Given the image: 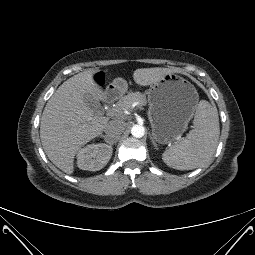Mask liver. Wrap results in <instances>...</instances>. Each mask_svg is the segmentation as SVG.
<instances>
[{
	"mask_svg": "<svg viewBox=\"0 0 255 255\" xmlns=\"http://www.w3.org/2000/svg\"><path fill=\"white\" fill-rule=\"evenodd\" d=\"M99 70L84 71L66 80L48 100L40 124V138L50 161L66 174L74 172V158L82 146L99 136L108 118L94 113L84 98L92 96L97 102L106 98L105 92L93 79ZM174 68H141L133 73L140 86L151 85Z\"/></svg>",
	"mask_w": 255,
	"mask_h": 255,
	"instance_id": "liver-1",
	"label": "liver"
}]
</instances>
